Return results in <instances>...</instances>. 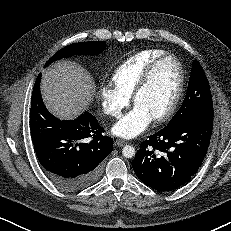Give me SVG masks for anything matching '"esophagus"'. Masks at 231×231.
<instances>
[{"instance_id": "1", "label": "esophagus", "mask_w": 231, "mask_h": 231, "mask_svg": "<svg viewBox=\"0 0 231 231\" xmlns=\"http://www.w3.org/2000/svg\"><path fill=\"white\" fill-rule=\"evenodd\" d=\"M114 144H115V146H117V147H122V146L126 145L127 142H126L125 140H122V139H116V141H115Z\"/></svg>"}]
</instances>
